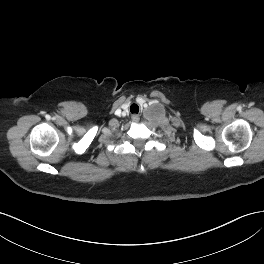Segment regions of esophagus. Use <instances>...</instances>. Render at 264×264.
Segmentation results:
<instances>
[{
	"label": "esophagus",
	"mask_w": 264,
	"mask_h": 264,
	"mask_svg": "<svg viewBox=\"0 0 264 264\" xmlns=\"http://www.w3.org/2000/svg\"><path fill=\"white\" fill-rule=\"evenodd\" d=\"M132 120H133L134 122H138V121H139V116L136 115V114H134V115L132 116Z\"/></svg>",
	"instance_id": "obj_1"
}]
</instances>
